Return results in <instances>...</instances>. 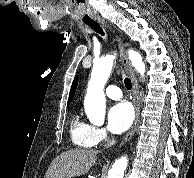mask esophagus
<instances>
[{"instance_id": "34e87169", "label": "esophagus", "mask_w": 194, "mask_h": 178, "mask_svg": "<svg viewBox=\"0 0 194 178\" xmlns=\"http://www.w3.org/2000/svg\"><path fill=\"white\" fill-rule=\"evenodd\" d=\"M101 24L105 27H108L109 29H112L111 26L109 24H107L106 22H101ZM114 32V31H113ZM118 45H119V50H120V56H121V60L123 65L126 68L127 73L129 74L131 81H132V100H133V105L135 108V118H134V122L130 128V130L127 132V134L125 135V137L123 138L121 145L125 144L127 141H129L132 136L134 135L138 123H139V119H140V103H139V91H138V82H137V78L136 75L134 73V70L127 58L126 55V51H125V44L123 43V41L121 40V38H119L118 36H116Z\"/></svg>"}]
</instances>
